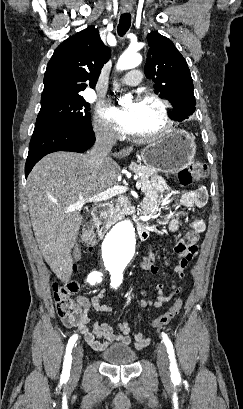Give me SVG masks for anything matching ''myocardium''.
<instances>
[{"mask_svg":"<svg viewBox=\"0 0 243 409\" xmlns=\"http://www.w3.org/2000/svg\"><path fill=\"white\" fill-rule=\"evenodd\" d=\"M136 101H153L155 102L161 110L162 126L149 133L144 134H132V137L138 141H150L154 140L163 134L167 133L173 126V120L170 113V104L167 100L161 97L154 91L145 90L137 95Z\"/></svg>","mask_w":243,"mask_h":409,"instance_id":"1","label":"myocardium"}]
</instances>
